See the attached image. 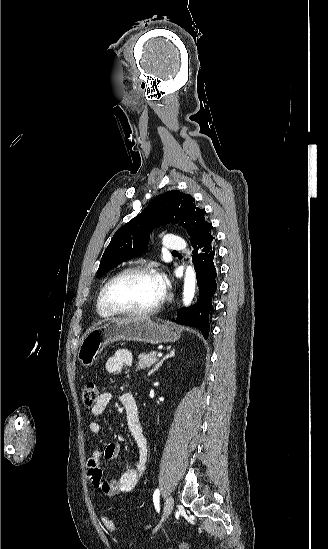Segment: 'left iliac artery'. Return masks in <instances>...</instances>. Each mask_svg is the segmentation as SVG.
Returning <instances> with one entry per match:
<instances>
[{
  "label": "left iliac artery",
  "instance_id": "obj_1",
  "mask_svg": "<svg viewBox=\"0 0 328 549\" xmlns=\"http://www.w3.org/2000/svg\"><path fill=\"white\" fill-rule=\"evenodd\" d=\"M159 495H160V492H159L158 489H156L154 494H153V502H154L155 508L158 512L160 510V508H159Z\"/></svg>",
  "mask_w": 328,
  "mask_h": 549
}]
</instances>
